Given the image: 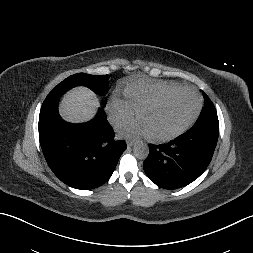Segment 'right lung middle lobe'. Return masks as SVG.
<instances>
[{"mask_svg": "<svg viewBox=\"0 0 253 253\" xmlns=\"http://www.w3.org/2000/svg\"><path fill=\"white\" fill-rule=\"evenodd\" d=\"M108 79L109 75H89L86 73H77L69 76L64 81L59 83L46 97L53 98L61 96L68 89L74 86H86L93 90L95 93L104 95L108 91ZM106 104V101H104Z\"/></svg>", "mask_w": 253, "mask_h": 253, "instance_id": "dd1d6c3e", "label": "right lung middle lobe"}]
</instances>
